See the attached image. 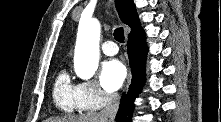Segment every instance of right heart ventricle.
<instances>
[{"mask_svg":"<svg viewBox=\"0 0 221 122\" xmlns=\"http://www.w3.org/2000/svg\"><path fill=\"white\" fill-rule=\"evenodd\" d=\"M77 86L70 78L67 70H61L54 82L53 101L55 106L65 113L83 110L78 99Z\"/></svg>","mask_w":221,"mask_h":122,"instance_id":"e07e8e85","label":"right heart ventricle"}]
</instances>
